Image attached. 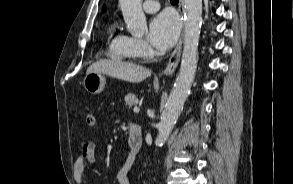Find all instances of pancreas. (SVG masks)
<instances>
[{"instance_id": "obj_1", "label": "pancreas", "mask_w": 293, "mask_h": 184, "mask_svg": "<svg viewBox=\"0 0 293 184\" xmlns=\"http://www.w3.org/2000/svg\"><path fill=\"white\" fill-rule=\"evenodd\" d=\"M139 102L138 98L136 97V95L128 93L125 96V104L127 107L131 108L132 106L137 105Z\"/></svg>"}]
</instances>
